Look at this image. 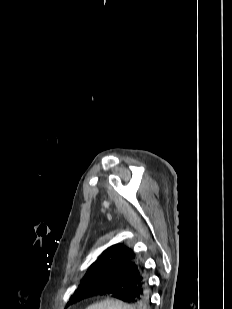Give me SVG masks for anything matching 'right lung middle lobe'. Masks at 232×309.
Instances as JSON below:
<instances>
[{"label":"right lung middle lobe","instance_id":"obj_1","mask_svg":"<svg viewBox=\"0 0 232 309\" xmlns=\"http://www.w3.org/2000/svg\"><path fill=\"white\" fill-rule=\"evenodd\" d=\"M132 279V275L117 273V271H98L93 274L85 275L81 284L70 297L67 305L77 303L86 298V291L90 286H100L102 284L115 283L117 280Z\"/></svg>","mask_w":232,"mask_h":309}]
</instances>
